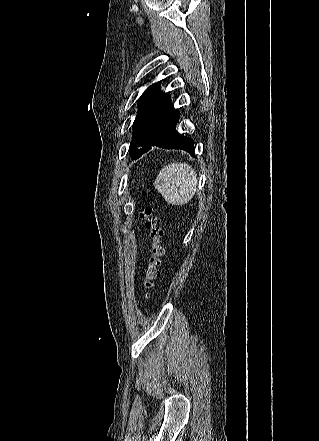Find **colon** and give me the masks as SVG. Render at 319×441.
<instances>
[{
  "label": "colon",
  "instance_id": "obj_1",
  "mask_svg": "<svg viewBox=\"0 0 319 441\" xmlns=\"http://www.w3.org/2000/svg\"><path fill=\"white\" fill-rule=\"evenodd\" d=\"M140 217L145 222V226L149 230L152 241L151 254L148 259V266L143 281V294L147 299L149 298V290L160 276L159 267L164 254V248L161 244L163 230L159 227V220L153 215V208L150 205L143 206L140 212Z\"/></svg>",
  "mask_w": 319,
  "mask_h": 441
}]
</instances>
